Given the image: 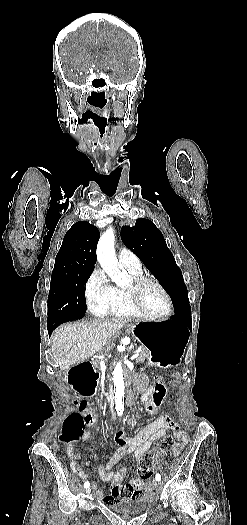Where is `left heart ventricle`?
Segmentation results:
<instances>
[{"mask_svg": "<svg viewBox=\"0 0 247 525\" xmlns=\"http://www.w3.org/2000/svg\"><path fill=\"white\" fill-rule=\"evenodd\" d=\"M143 305L152 312H159L166 307V298L160 288L152 283L145 282L139 291Z\"/></svg>", "mask_w": 247, "mask_h": 525, "instance_id": "1", "label": "left heart ventricle"}]
</instances>
